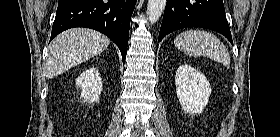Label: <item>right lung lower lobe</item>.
Instances as JSON below:
<instances>
[{
  "mask_svg": "<svg viewBox=\"0 0 280 137\" xmlns=\"http://www.w3.org/2000/svg\"><path fill=\"white\" fill-rule=\"evenodd\" d=\"M137 0H59L51 39L73 27H86L108 36L126 58L130 20Z\"/></svg>",
  "mask_w": 280,
  "mask_h": 137,
  "instance_id": "obj_1",
  "label": "right lung lower lobe"
}]
</instances>
